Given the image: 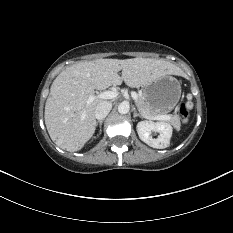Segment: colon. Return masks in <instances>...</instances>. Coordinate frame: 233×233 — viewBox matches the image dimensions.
Here are the masks:
<instances>
[{"label": "colon", "mask_w": 233, "mask_h": 233, "mask_svg": "<svg viewBox=\"0 0 233 233\" xmlns=\"http://www.w3.org/2000/svg\"><path fill=\"white\" fill-rule=\"evenodd\" d=\"M178 112L184 122L188 120L189 108L185 102H182L178 107Z\"/></svg>", "instance_id": "colon-1"}]
</instances>
